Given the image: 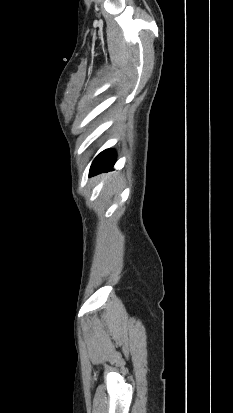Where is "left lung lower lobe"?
Returning <instances> with one entry per match:
<instances>
[{
	"label": "left lung lower lobe",
	"instance_id": "1",
	"mask_svg": "<svg viewBox=\"0 0 233 413\" xmlns=\"http://www.w3.org/2000/svg\"><path fill=\"white\" fill-rule=\"evenodd\" d=\"M116 161V153L114 150L107 149L101 152L93 161L90 168V176L101 172L111 170Z\"/></svg>",
	"mask_w": 233,
	"mask_h": 413
}]
</instances>
